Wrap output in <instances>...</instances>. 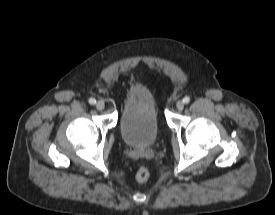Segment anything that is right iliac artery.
I'll list each match as a JSON object with an SVG mask.
<instances>
[{
	"label": "right iliac artery",
	"instance_id": "1",
	"mask_svg": "<svg viewBox=\"0 0 275 215\" xmlns=\"http://www.w3.org/2000/svg\"><path fill=\"white\" fill-rule=\"evenodd\" d=\"M89 103H90L91 105H94V104L96 103V100H95L94 98H90V99H89Z\"/></svg>",
	"mask_w": 275,
	"mask_h": 215
}]
</instances>
